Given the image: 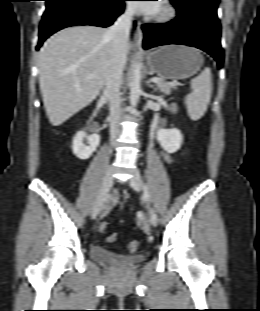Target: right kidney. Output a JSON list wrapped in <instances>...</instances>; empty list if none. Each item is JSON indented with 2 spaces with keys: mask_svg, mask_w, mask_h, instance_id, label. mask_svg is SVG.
<instances>
[{
  "mask_svg": "<svg viewBox=\"0 0 260 311\" xmlns=\"http://www.w3.org/2000/svg\"><path fill=\"white\" fill-rule=\"evenodd\" d=\"M84 139L88 141L87 146L83 143ZM99 142V135H87L84 131H79L73 139L72 151L77 158L86 160L96 150Z\"/></svg>",
  "mask_w": 260,
  "mask_h": 311,
  "instance_id": "right-kidney-1",
  "label": "right kidney"
}]
</instances>
